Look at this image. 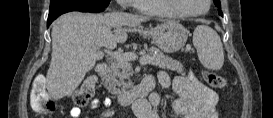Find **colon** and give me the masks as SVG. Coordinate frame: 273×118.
Instances as JSON below:
<instances>
[{
	"mask_svg": "<svg viewBox=\"0 0 273 118\" xmlns=\"http://www.w3.org/2000/svg\"><path fill=\"white\" fill-rule=\"evenodd\" d=\"M202 77L211 87L223 89L227 82L222 76L210 71H203ZM97 85V78L88 76L73 94V101L78 106H85L93 96ZM31 104L35 111L44 113H54L57 110L55 99L46 90V82L43 78L34 81L31 91Z\"/></svg>",
	"mask_w": 273,
	"mask_h": 118,
	"instance_id": "obj_1",
	"label": "colon"
}]
</instances>
